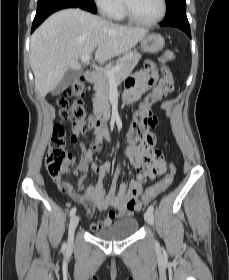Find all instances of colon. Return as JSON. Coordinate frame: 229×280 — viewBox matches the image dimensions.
<instances>
[{
    "mask_svg": "<svg viewBox=\"0 0 229 280\" xmlns=\"http://www.w3.org/2000/svg\"><path fill=\"white\" fill-rule=\"evenodd\" d=\"M174 52L166 50L159 58L160 63L165 64L174 59ZM162 80L161 88L166 92L173 90L172 74L169 68L163 66L161 68ZM86 92V82L83 77L76 78L72 83L68 84L62 95L58 98V106L61 109L63 118H67L72 123V133L67 137L64 128L57 125L54 128L53 136L49 143V149L46 156V168L50 177L57 181L60 190L65 192H75V188L70 183L66 176L62 174V169L70 161L71 156L68 152V143H78L79 139L86 135L90 128L91 123L86 118L85 109L83 106L84 97ZM68 98L72 99V105L68 110ZM147 102H152V96H146ZM156 118L151 114H144L137 111L130 125L127 139L131 143H137L143 140L148 133L149 128L154 127ZM88 149L97 150L98 143L92 141L87 145ZM144 165L147 170L154 174H160L165 167L163 153L159 150H154L144 160ZM174 169L170 171L154 186L146 189L142 195V200L132 199L129 204L131 207L140 208L142 203L148 202L158 193L166 190L173 182Z\"/></svg>",
    "mask_w": 229,
    "mask_h": 280,
    "instance_id": "1",
    "label": "colon"
}]
</instances>
